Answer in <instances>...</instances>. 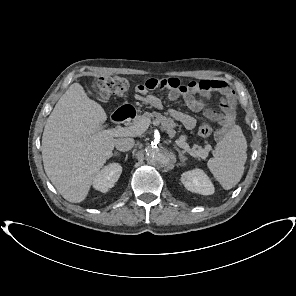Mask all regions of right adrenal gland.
I'll return each mask as SVG.
<instances>
[{
    "label": "right adrenal gland",
    "mask_w": 296,
    "mask_h": 296,
    "mask_svg": "<svg viewBox=\"0 0 296 296\" xmlns=\"http://www.w3.org/2000/svg\"><path fill=\"white\" fill-rule=\"evenodd\" d=\"M112 156H114V157H115V156H120V153L115 152V153L112 154Z\"/></svg>",
    "instance_id": "2a0ac1e0"
}]
</instances>
